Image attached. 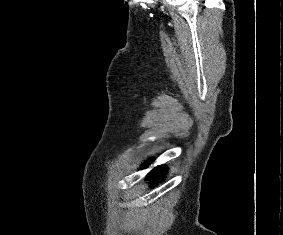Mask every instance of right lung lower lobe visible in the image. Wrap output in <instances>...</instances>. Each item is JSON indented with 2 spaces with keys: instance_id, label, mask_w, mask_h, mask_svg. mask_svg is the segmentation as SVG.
Instances as JSON below:
<instances>
[{
  "instance_id": "right-lung-lower-lobe-1",
  "label": "right lung lower lobe",
  "mask_w": 283,
  "mask_h": 235,
  "mask_svg": "<svg viewBox=\"0 0 283 235\" xmlns=\"http://www.w3.org/2000/svg\"><path fill=\"white\" fill-rule=\"evenodd\" d=\"M166 171V167L164 166H158L154 168L150 173L149 176L152 178H159L162 177L164 172Z\"/></svg>"
}]
</instances>
